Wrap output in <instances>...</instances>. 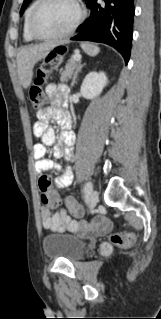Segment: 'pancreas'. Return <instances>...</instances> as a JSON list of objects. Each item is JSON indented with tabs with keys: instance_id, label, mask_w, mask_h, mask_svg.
Here are the masks:
<instances>
[{
	"instance_id": "obj_1",
	"label": "pancreas",
	"mask_w": 161,
	"mask_h": 319,
	"mask_svg": "<svg viewBox=\"0 0 161 319\" xmlns=\"http://www.w3.org/2000/svg\"><path fill=\"white\" fill-rule=\"evenodd\" d=\"M77 68L78 62L74 58L70 59L66 64L65 68L60 71V80L62 82H67L74 74V70Z\"/></svg>"
}]
</instances>
